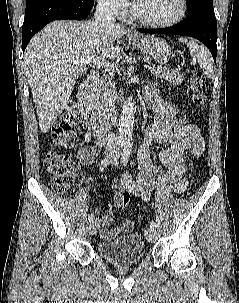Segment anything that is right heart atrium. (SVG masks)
I'll return each mask as SVG.
<instances>
[{
	"mask_svg": "<svg viewBox=\"0 0 239 303\" xmlns=\"http://www.w3.org/2000/svg\"><path fill=\"white\" fill-rule=\"evenodd\" d=\"M99 5L116 17H124L128 13L129 4L127 0H97Z\"/></svg>",
	"mask_w": 239,
	"mask_h": 303,
	"instance_id": "right-heart-atrium-1",
	"label": "right heart atrium"
}]
</instances>
